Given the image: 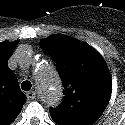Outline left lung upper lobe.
Listing matches in <instances>:
<instances>
[{"label": "left lung upper lobe", "instance_id": "1", "mask_svg": "<svg viewBox=\"0 0 125 125\" xmlns=\"http://www.w3.org/2000/svg\"><path fill=\"white\" fill-rule=\"evenodd\" d=\"M40 47L56 63L64 86V98L50 115L58 125H93L105 110L112 90L111 77L102 56L74 38L53 35Z\"/></svg>", "mask_w": 125, "mask_h": 125}]
</instances>
